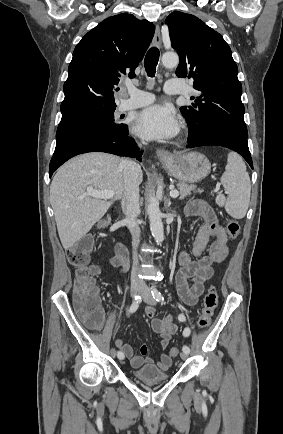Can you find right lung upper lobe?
Here are the masks:
<instances>
[{
	"label": "right lung upper lobe",
	"mask_w": 283,
	"mask_h": 434,
	"mask_svg": "<svg viewBox=\"0 0 283 434\" xmlns=\"http://www.w3.org/2000/svg\"><path fill=\"white\" fill-rule=\"evenodd\" d=\"M154 31L153 23L131 14L109 17L89 31L73 52L62 118L115 109V86L122 74L136 76Z\"/></svg>",
	"instance_id": "right-lung-upper-lobe-1"
}]
</instances>
